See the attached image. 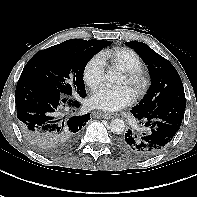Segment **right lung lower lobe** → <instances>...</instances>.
Instances as JSON below:
<instances>
[{
    "mask_svg": "<svg viewBox=\"0 0 197 197\" xmlns=\"http://www.w3.org/2000/svg\"><path fill=\"white\" fill-rule=\"evenodd\" d=\"M15 103L23 134L32 143L58 152L71 148L90 120L89 113L71 114L73 107L80 106L77 101L62 97L53 84L30 76H20Z\"/></svg>",
    "mask_w": 197,
    "mask_h": 197,
    "instance_id": "right-lung-lower-lobe-1",
    "label": "right lung lower lobe"
}]
</instances>
